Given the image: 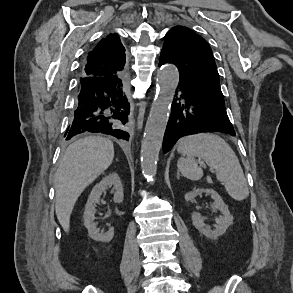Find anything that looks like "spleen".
<instances>
[{"label": "spleen", "mask_w": 293, "mask_h": 293, "mask_svg": "<svg viewBox=\"0 0 293 293\" xmlns=\"http://www.w3.org/2000/svg\"><path fill=\"white\" fill-rule=\"evenodd\" d=\"M177 150L183 155L177 166L184 177L194 181L202 178L203 171L193 159L201 157L215 169L217 179L233 199L242 201L248 197L249 190L239 160L220 136L211 133L185 136L179 141Z\"/></svg>", "instance_id": "1"}]
</instances>
